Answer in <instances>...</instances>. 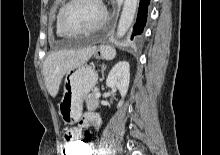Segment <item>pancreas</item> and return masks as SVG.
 <instances>
[{
    "instance_id": "1",
    "label": "pancreas",
    "mask_w": 220,
    "mask_h": 155,
    "mask_svg": "<svg viewBox=\"0 0 220 155\" xmlns=\"http://www.w3.org/2000/svg\"><path fill=\"white\" fill-rule=\"evenodd\" d=\"M86 106L88 111H94L99 106V99L95 97V93L89 94L86 97Z\"/></svg>"
}]
</instances>
